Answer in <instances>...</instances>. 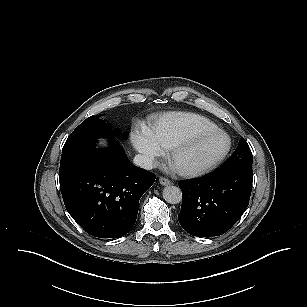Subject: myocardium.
<instances>
[{"instance_id": "1", "label": "myocardium", "mask_w": 307, "mask_h": 307, "mask_svg": "<svg viewBox=\"0 0 307 307\" xmlns=\"http://www.w3.org/2000/svg\"><path fill=\"white\" fill-rule=\"evenodd\" d=\"M214 136H222L226 140V145L224 149L215 157L206 162L192 166L176 167L173 165V161L176 158H178L181 154L188 151L199 142L207 140ZM231 149H232V139L230 135L224 130L216 128L209 131L195 133L189 136L188 138L184 139L183 141L177 143L176 145L168 148L167 157L171 161L173 168L178 175L183 177H196L203 175L215 169L217 166H219L229 155Z\"/></svg>"}]
</instances>
